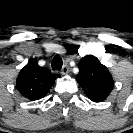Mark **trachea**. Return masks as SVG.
Here are the masks:
<instances>
[{"label":"trachea","mask_w":133,"mask_h":133,"mask_svg":"<svg viewBox=\"0 0 133 133\" xmlns=\"http://www.w3.org/2000/svg\"><path fill=\"white\" fill-rule=\"evenodd\" d=\"M62 64V59L59 56H55L52 60V70H61Z\"/></svg>","instance_id":"trachea-1"}]
</instances>
